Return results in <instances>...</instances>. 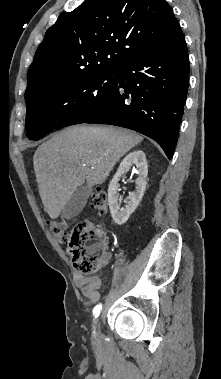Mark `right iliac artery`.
<instances>
[{
    "label": "right iliac artery",
    "mask_w": 221,
    "mask_h": 379,
    "mask_svg": "<svg viewBox=\"0 0 221 379\" xmlns=\"http://www.w3.org/2000/svg\"><path fill=\"white\" fill-rule=\"evenodd\" d=\"M101 310H102V304H98V305H96V306L94 307V309H93V315H94L95 317H97V316L100 314Z\"/></svg>",
    "instance_id": "obj_1"
}]
</instances>
